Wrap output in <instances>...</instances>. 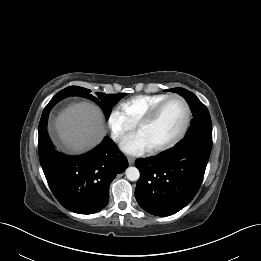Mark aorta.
<instances>
[{"label":"aorta","instance_id":"1","mask_svg":"<svg viewBox=\"0 0 261 261\" xmlns=\"http://www.w3.org/2000/svg\"><path fill=\"white\" fill-rule=\"evenodd\" d=\"M125 174L130 181H137L140 178V172L136 167H128Z\"/></svg>","mask_w":261,"mask_h":261}]
</instances>
